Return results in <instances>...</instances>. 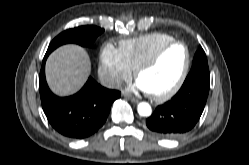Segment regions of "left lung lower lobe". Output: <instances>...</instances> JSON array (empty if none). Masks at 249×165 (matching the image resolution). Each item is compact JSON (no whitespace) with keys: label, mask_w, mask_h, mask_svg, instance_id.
<instances>
[{"label":"left lung lower lobe","mask_w":249,"mask_h":165,"mask_svg":"<svg viewBox=\"0 0 249 165\" xmlns=\"http://www.w3.org/2000/svg\"><path fill=\"white\" fill-rule=\"evenodd\" d=\"M209 87V74L188 75L176 95L147 118V127L165 138H175L190 131L204 110Z\"/></svg>","instance_id":"obj_1"}]
</instances>
